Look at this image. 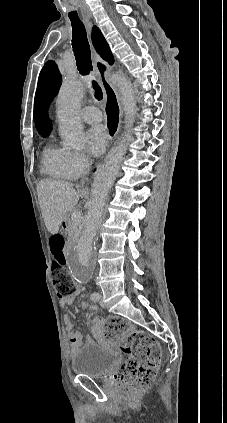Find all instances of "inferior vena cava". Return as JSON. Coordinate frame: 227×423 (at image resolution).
Returning <instances> with one entry per match:
<instances>
[{"label":"inferior vena cava","instance_id":"inferior-vena-cava-1","mask_svg":"<svg viewBox=\"0 0 227 423\" xmlns=\"http://www.w3.org/2000/svg\"><path fill=\"white\" fill-rule=\"evenodd\" d=\"M86 162H87V164H89V166H91L92 160H90V158H87Z\"/></svg>","mask_w":227,"mask_h":423}]
</instances>
